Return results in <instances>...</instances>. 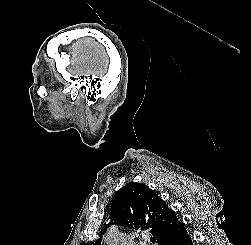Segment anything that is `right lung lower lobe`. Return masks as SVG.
Returning <instances> with one entry per match:
<instances>
[{"instance_id": "1", "label": "right lung lower lobe", "mask_w": 251, "mask_h": 245, "mask_svg": "<svg viewBox=\"0 0 251 245\" xmlns=\"http://www.w3.org/2000/svg\"><path fill=\"white\" fill-rule=\"evenodd\" d=\"M163 245H193L190 236L188 235L185 227L181 229L176 236L167 240Z\"/></svg>"}]
</instances>
